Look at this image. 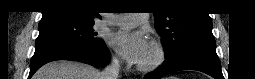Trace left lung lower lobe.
<instances>
[{
    "mask_svg": "<svg viewBox=\"0 0 255 79\" xmlns=\"http://www.w3.org/2000/svg\"><path fill=\"white\" fill-rule=\"evenodd\" d=\"M180 70H198L215 79H223L215 42H195L188 45L174 57L166 59L158 69L148 73L144 79H160Z\"/></svg>",
    "mask_w": 255,
    "mask_h": 79,
    "instance_id": "0a47b994",
    "label": "left lung lower lobe"
}]
</instances>
